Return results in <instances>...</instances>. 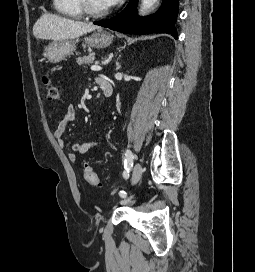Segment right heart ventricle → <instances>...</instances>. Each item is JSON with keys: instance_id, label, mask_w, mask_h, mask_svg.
Wrapping results in <instances>:
<instances>
[{"instance_id": "1", "label": "right heart ventricle", "mask_w": 255, "mask_h": 272, "mask_svg": "<svg viewBox=\"0 0 255 272\" xmlns=\"http://www.w3.org/2000/svg\"><path fill=\"white\" fill-rule=\"evenodd\" d=\"M52 4L54 10L59 14L71 18H81L83 16L78 0H53Z\"/></svg>"}]
</instances>
